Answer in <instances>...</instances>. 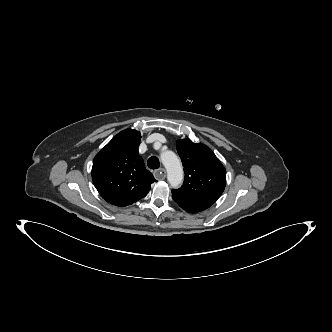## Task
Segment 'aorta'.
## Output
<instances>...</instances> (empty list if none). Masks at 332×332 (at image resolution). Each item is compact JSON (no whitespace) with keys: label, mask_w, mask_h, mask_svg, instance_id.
<instances>
[{"label":"aorta","mask_w":332,"mask_h":332,"mask_svg":"<svg viewBox=\"0 0 332 332\" xmlns=\"http://www.w3.org/2000/svg\"><path fill=\"white\" fill-rule=\"evenodd\" d=\"M160 160L167 170V180L169 184L176 188L183 182V167L177 155L170 150L160 154Z\"/></svg>","instance_id":"obj_1"}]
</instances>
